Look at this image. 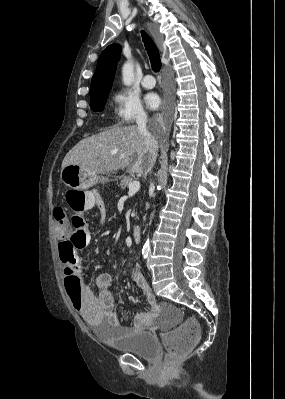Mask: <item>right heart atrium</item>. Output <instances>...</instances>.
I'll use <instances>...</instances> for the list:
<instances>
[{"mask_svg":"<svg viewBox=\"0 0 285 399\" xmlns=\"http://www.w3.org/2000/svg\"><path fill=\"white\" fill-rule=\"evenodd\" d=\"M113 100L119 125H129L147 118L146 110L133 93L121 90L115 93Z\"/></svg>","mask_w":285,"mask_h":399,"instance_id":"1","label":"right heart atrium"}]
</instances>
